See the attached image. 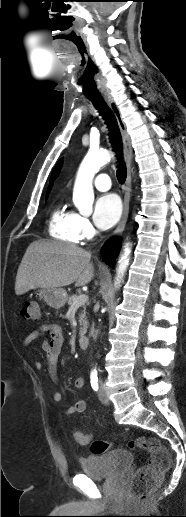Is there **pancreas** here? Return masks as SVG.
<instances>
[{"instance_id":"1","label":"pancreas","mask_w":186,"mask_h":517,"mask_svg":"<svg viewBox=\"0 0 186 517\" xmlns=\"http://www.w3.org/2000/svg\"><path fill=\"white\" fill-rule=\"evenodd\" d=\"M79 296L78 295H71L68 299H67V303L69 306H72L73 302L75 299H77ZM84 310L81 312V314L79 315V324H80V331H79V334L80 336H83L86 331H87V328H88V322H87V318H86V307L83 306Z\"/></svg>"}]
</instances>
